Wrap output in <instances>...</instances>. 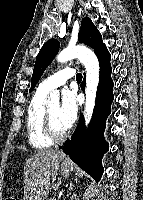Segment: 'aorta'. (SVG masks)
Listing matches in <instances>:
<instances>
[{"label":"aorta","instance_id":"obj_1","mask_svg":"<svg viewBox=\"0 0 143 200\" xmlns=\"http://www.w3.org/2000/svg\"><path fill=\"white\" fill-rule=\"evenodd\" d=\"M74 58H77L86 69V102L84 112L85 123L87 125L91 119L95 106V98L100 76L99 61L91 49L81 45L68 46L57 55V61L61 63ZM49 104L52 106L59 105V93L53 92L50 94Z\"/></svg>","mask_w":143,"mask_h":200}]
</instances>
